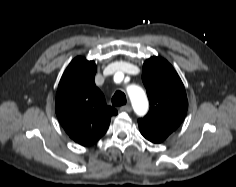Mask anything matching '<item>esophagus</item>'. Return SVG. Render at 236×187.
I'll return each mask as SVG.
<instances>
[{"instance_id": "obj_1", "label": "esophagus", "mask_w": 236, "mask_h": 187, "mask_svg": "<svg viewBox=\"0 0 236 187\" xmlns=\"http://www.w3.org/2000/svg\"><path fill=\"white\" fill-rule=\"evenodd\" d=\"M132 108L130 105H124L122 107H120V111L122 112H131Z\"/></svg>"}]
</instances>
